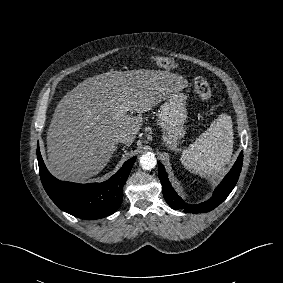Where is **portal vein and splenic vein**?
<instances>
[{
  "mask_svg": "<svg viewBox=\"0 0 283 283\" xmlns=\"http://www.w3.org/2000/svg\"><path fill=\"white\" fill-rule=\"evenodd\" d=\"M127 111H128L127 107L121 106V108H120L118 114H119L120 116H123Z\"/></svg>",
  "mask_w": 283,
  "mask_h": 283,
  "instance_id": "portal-vein-and-splenic-vein-1",
  "label": "portal vein and splenic vein"
}]
</instances>
